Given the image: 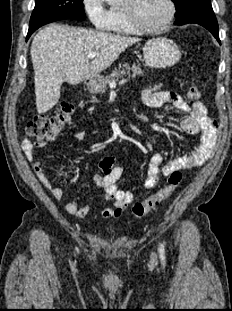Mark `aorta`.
<instances>
[{"mask_svg": "<svg viewBox=\"0 0 232 311\" xmlns=\"http://www.w3.org/2000/svg\"><path fill=\"white\" fill-rule=\"evenodd\" d=\"M104 1L110 5H113V4L120 2V0H104Z\"/></svg>", "mask_w": 232, "mask_h": 311, "instance_id": "aorta-1", "label": "aorta"}]
</instances>
